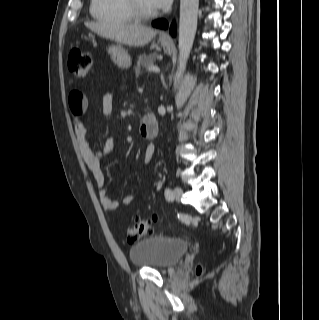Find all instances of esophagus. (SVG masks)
I'll use <instances>...</instances> for the list:
<instances>
[{"label": "esophagus", "instance_id": "obj_1", "mask_svg": "<svg viewBox=\"0 0 319 320\" xmlns=\"http://www.w3.org/2000/svg\"><path fill=\"white\" fill-rule=\"evenodd\" d=\"M161 37L166 38V39H170V36L167 31L162 32Z\"/></svg>", "mask_w": 319, "mask_h": 320}]
</instances>
